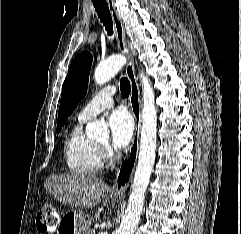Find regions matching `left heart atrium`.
<instances>
[{"instance_id":"1","label":"left heart atrium","mask_w":241,"mask_h":234,"mask_svg":"<svg viewBox=\"0 0 241 234\" xmlns=\"http://www.w3.org/2000/svg\"><path fill=\"white\" fill-rule=\"evenodd\" d=\"M111 132V143L115 150H121L128 145L133 135V121L123 109L113 111L108 117Z\"/></svg>"}]
</instances>
